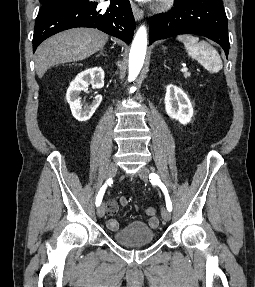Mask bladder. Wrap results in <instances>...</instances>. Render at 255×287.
Returning <instances> with one entry per match:
<instances>
[{
	"mask_svg": "<svg viewBox=\"0 0 255 287\" xmlns=\"http://www.w3.org/2000/svg\"><path fill=\"white\" fill-rule=\"evenodd\" d=\"M111 237L122 245H142L153 242L156 232L149 224L136 220L113 231Z\"/></svg>",
	"mask_w": 255,
	"mask_h": 287,
	"instance_id": "bladder-1",
	"label": "bladder"
}]
</instances>
